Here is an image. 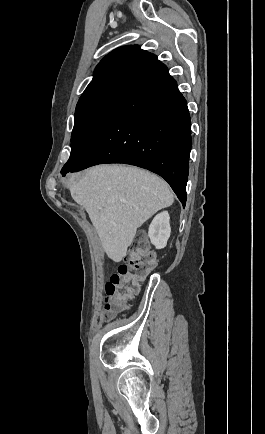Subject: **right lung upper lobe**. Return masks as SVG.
Listing matches in <instances>:
<instances>
[{
  "label": "right lung upper lobe",
  "instance_id": "1",
  "mask_svg": "<svg viewBox=\"0 0 265 434\" xmlns=\"http://www.w3.org/2000/svg\"><path fill=\"white\" fill-rule=\"evenodd\" d=\"M156 60L154 54L140 49L137 45L117 48L100 61L90 83L119 74L136 75Z\"/></svg>",
  "mask_w": 265,
  "mask_h": 434
}]
</instances>
